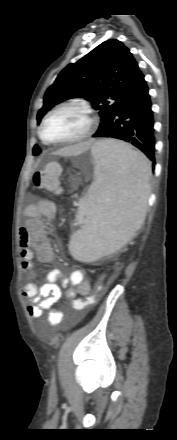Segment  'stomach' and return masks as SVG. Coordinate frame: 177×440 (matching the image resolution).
<instances>
[{
	"label": "stomach",
	"mask_w": 177,
	"mask_h": 440,
	"mask_svg": "<svg viewBox=\"0 0 177 440\" xmlns=\"http://www.w3.org/2000/svg\"><path fill=\"white\" fill-rule=\"evenodd\" d=\"M95 145H96V144H94V145L92 146V149L95 147Z\"/></svg>",
	"instance_id": "obj_1"
}]
</instances>
